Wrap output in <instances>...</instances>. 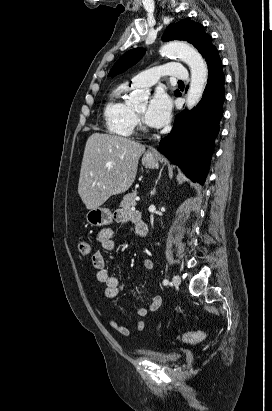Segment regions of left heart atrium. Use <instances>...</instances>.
I'll list each match as a JSON object with an SVG mask.
<instances>
[{
    "instance_id": "left-heart-atrium-1",
    "label": "left heart atrium",
    "mask_w": 272,
    "mask_h": 411,
    "mask_svg": "<svg viewBox=\"0 0 272 411\" xmlns=\"http://www.w3.org/2000/svg\"><path fill=\"white\" fill-rule=\"evenodd\" d=\"M172 103L168 95L162 91H157L151 98L144 114V121L153 128H161L170 119Z\"/></svg>"
}]
</instances>
